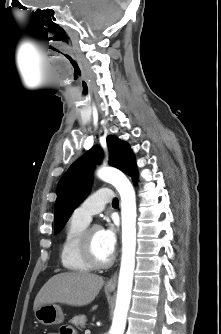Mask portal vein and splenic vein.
I'll list each match as a JSON object with an SVG mask.
<instances>
[{
	"label": "portal vein and splenic vein",
	"mask_w": 221,
	"mask_h": 334,
	"mask_svg": "<svg viewBox=\"0 0 221 334\" xmlns=\"http://www.w3.org/2000/svg\"><path fill=\"white\" fill-rule=\"evenodd\" d=\"M85 334H90V330H85Z\"/></svg>",
	"instance_id": "18ae733b"
}]
</instances>
